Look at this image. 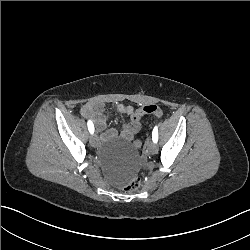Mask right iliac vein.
Here are the masks:
<instances>
[{
  "mask_svg": "<svg viewBox=\"0 0 250 250\" xmlns=\"http://www.w3.org/2000/svg\"><path fill=\"white\" fill-rule=\"evenodd\" d=\"M90 144L93 148H96L98 146V137L96 134L91 137Z\"/></svg>",
  "mask_w": 250,
  "mask_h": 250,
  "instance_id": "1",
  "label": "right iliac vein"
}]
</instances>
